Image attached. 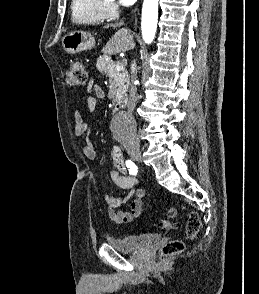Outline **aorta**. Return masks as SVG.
<instances>
[{
  "instance_id": "1",
  "label": "aorta",
  "mask_w": 259,
  "mask_h": 294,
  "mask_svg": "<svg viewBox=\"0 0 259 294\" xmlns=\"http://www.w3.org/2000/svg\"><path fill=\"white\" fill-rule=\"evenodd\" d=\"M158 20V0H144L142 7L141 30L145 43L150 44L155 38ZM135 121L132 116L120 113L114 123V130L119 135L131 134Z\"/></svg>"
}]
</instances>
